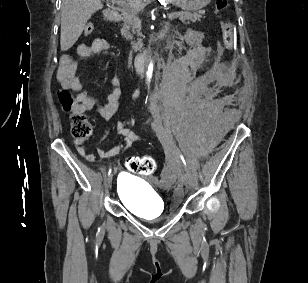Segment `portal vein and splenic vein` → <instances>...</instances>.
<instances>
[{
    "label": "portal vein and splenic vein",
    "mask_w": 308,
    "mask_h": 283,
    "mask_svg": "<svg viewBox=\"0 0 308 283\" xmlns=\"http://www.w3.org/2000/svg\"><path fill=\"white\" fill-rule=\"evenodd\" d=\"M113 3H117L119 6H121L123 9H131V10H137L136 6L134 4L128 3L126 4L125 0H111ZM183 13L181 12H171L168 14L169 18H175L182 16Z\"/></svg>",
    "instance_id": "18ae733b"
}]
</instances>
